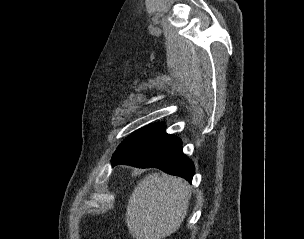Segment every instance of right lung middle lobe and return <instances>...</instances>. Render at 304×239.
<instances>
[{
	"label": "right lung middle lobe",
	"mask_w": 304,
	"mask_h": 239,
	"mask_svg": "<svg viewBox=\"0 0 304 239\" xmlns=\"http://www.w3.org/2000/svg\"><path fill=\"white\" fill-rule=\"evenodd\" d=\"M161 127H163V124H154V125H149L147 127H144L138 131H136L135 133H133L132 135H130L127 139H125L121 145L118 147V150L121 148L126 147L127 145H129L130 143L140 139L141 137H144L148 134H150L151 132H153L154 130L160 129ZM117 150V151H118Z\"/></svg>",
	"instance_id": "obj_1"
}]
</instances>
